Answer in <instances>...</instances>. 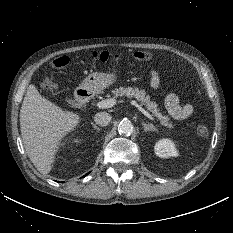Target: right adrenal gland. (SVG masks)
I'll return each instance as SVG.
<instances>
[{"label": "right adrenal gland", "instance_id": "1", "mask_svg": "<svg viewBox=\"0 0 233 233\" xmlns=\"http://www.w3.org/2000/svg\"><path fill=\"white\" fill-rule=\"evenodd\" d=\"M91 125L95 130H97V131L101 130V128H99L95 123L91 122Z\"/></svg>", "mask_w": 233, "mask_h": 233}]
</instances>
